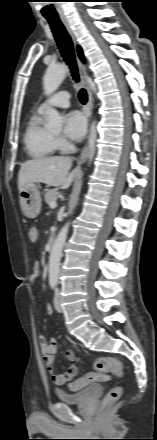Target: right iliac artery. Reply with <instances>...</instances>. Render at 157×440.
Returning a JSON list of instances; mask_svg holds the SVG:
<instances>
[{"label":"right iliac artery","instance_id":"1","mask_svg":"<svg viewBox=\"0 0 157 440\" xmlns=\"http://www.w3.org/2000/svg\"><path fill=\"white\" fill-rule=\"evenodd\" d=\"M50 286L53 290H55L56 283L52 282V283H50Z\"/></svg>","mask_w":157,"mask_h":440}]
</instances>
